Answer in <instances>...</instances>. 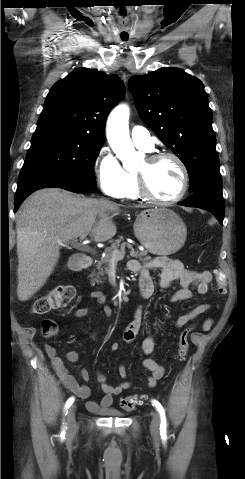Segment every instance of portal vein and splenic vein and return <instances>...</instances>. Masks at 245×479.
<instances>
[{"label":"portal vein and splenic vein","instance_id":"1","mask_svg":"<svg viewBox=\"0 0 245 479\" xmlns=\"http://www.w3.org/2000/svg\"><path fill=\"white\" fill-rule=\"evenodd\" d=\"M85 237H86V235L81 236V239H84ZM125 246H127V248L131 250V253L134 252L133 246L130 245V244L125 243L124 245L121 246L120 249L115 248V249L113 250V252H112V259H114V260H121V259H123L124 256H125Z\"/></svg>","mask_w":245,"mask_h":479}]
</instances>
